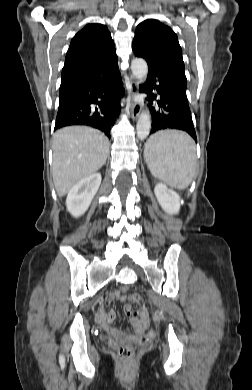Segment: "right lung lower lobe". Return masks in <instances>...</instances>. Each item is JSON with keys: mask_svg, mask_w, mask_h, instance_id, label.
<instances>
[{"mask_svg": "<svg viewBox=\"0 0 252 390\" xmlns=\"http://www.w3.org/2000/svg\"><path fill=\"white\" fill-rule=\"evenodd\" d=\"M121 77L118 66L100 81L83 85L60 97L55 130L69 125H88L110 138V130L120 114ZM97 104L98 108H92Z\"/></svg>", "mask_w": 252, "mask_h": 390, "instance_id": "right-lung-lower-lobe-1", "label": "right lung lower lobe"}]
</instances>
